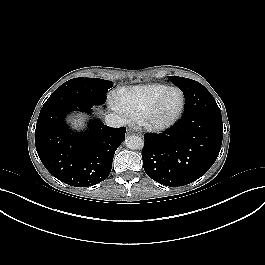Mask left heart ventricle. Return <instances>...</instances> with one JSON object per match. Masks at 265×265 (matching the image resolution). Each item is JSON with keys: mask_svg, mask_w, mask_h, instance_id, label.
<instances>
[{"mask_svg": "<svg viewBox=\"0 0 265 265\" xmlns=\"http://www.w3.org/2000/svg\"><path fill=\"white\" fill-rule=\"evenodd\" d=\"M180 100L181 97L177 91H169L157 109L156 118L163 120L172 116L177 111Z\"/></svg>", "mask_w": 265, "mask_h": 265, "instance_id": "obj_1", "label": "left heart ventricle"}]
</instances>
